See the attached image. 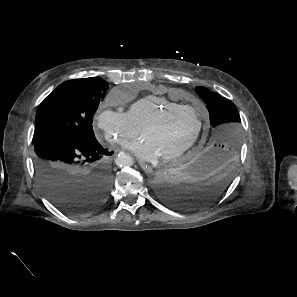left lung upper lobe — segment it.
Segmentation results:
<instances>
[{"label": "left lung upper lobe", "instance_id": "5c2ea615", "mask_svg": "<svg viewBox=\"0 0 297 297\" xmlns=\"http://www.w3.org/2000/svg\"><path fill=\"white\" fill-rule=\"evenodd\" d=\"M196 91L207 105L213 127L208 146L237 155L241 142V119L235 104L205 87H197Z\"/></svg>", "mask_w": 297, "mask_h": 297}]
</instances>
